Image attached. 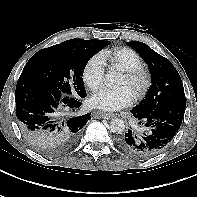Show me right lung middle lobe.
<instances>
[{
  "mask_svg": "<svg viewBox=\"0 0 197 197\" xmlns=\"http://www.w3.org/2000/svg\"><path fill=\"white\" fill-rule=\"evenodd\" d=\"M110 41L71 39L38 51L25 65L21 75L55 84L63 96L86 97L84 68L89 59Z\"/></svg>",
  "mask_w": 197,
  "mask_h": 197,
  "instance_id": "right-lung-middle-lobe-1",
  "label": "right lung middle lobe"
}]
</instances>
